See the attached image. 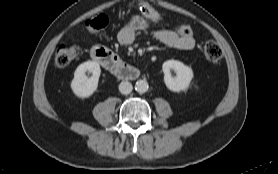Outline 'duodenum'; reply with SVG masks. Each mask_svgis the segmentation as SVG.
Returning <instances> with one entry per match:
<instances>
[{
	"instance_id": "obj_1",
	"label": "duodenum",
	"mask_w": 278,
	"mask_h": 174,
	"mask_svg": "<svg viewBox=\"0 0 278 174\" xmlns=\"http://www.w3.org/2000/svg\"><path fill=\"white\" fill-rule=\"evenodd\" d=\"M91 57L102 67L115 76L122 79H135L139 76V70L125 63L116 53L102 46H94L91 49Z\"/></svg>"
}]
</instances>
